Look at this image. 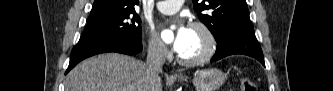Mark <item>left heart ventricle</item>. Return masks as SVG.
<instances>
[{
  "label": "left heart ventricle",
  "mask_w": 333,
  "mask_h": 91,
  "mask_svg": "<svg viewBox=\"0 0 333 91\" xmlns=\"http://www.w3.org/2000/svg\"><path fill=\"white\" fill-rule=\"evenodd\" d=\"M205 46L204 35L199 30L190 28L186 45L180 55L185 58H195L204 51Z\"/></svg>",
  "instance_id": "obj_1"
}]
</instances>
